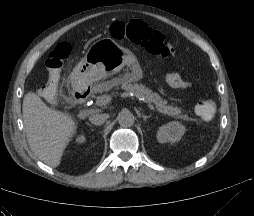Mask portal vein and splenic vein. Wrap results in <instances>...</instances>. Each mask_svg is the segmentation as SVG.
Here are the masks:
<instances>
[{"mask_svg":"<svg viewBox=\"0 0 254 216\" xmlns=\"http://www.w3.org/2000/svg\"><path fill=\"white\" fill-rule=\"evenodd\" d=\"M112 98H113V96H112L111 94H104V95L98 97V99L96 100V104H97L98 106L106 105V104L110 103V101L112 100ZM140 99H141V100H144L143 98H140ZM147 105H148V107H149L151 110L155 111V107H154L152 104L147 103Z\"/></svg>","mask_w":254,"mask_h":216,"instance_id":"18ae733b","label":"portal vein and splenic vein"}]
</instances>
